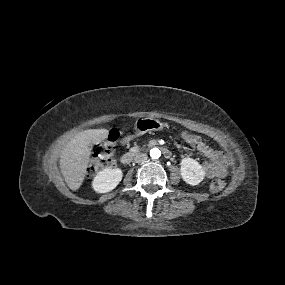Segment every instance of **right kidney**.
<instances>
[{
	"mask_svg": "<svg viewBox=\"0 0 285 285\" xmlns=\"http://www.w3.org/2000/svg\"><path fill=\"white\" fill-rule=\"evenodd\" d=\"M123 172L120 168H105L97 173L92 181V188L97 193H107L116 188L122 180Z\"/></svg>",
	"mask_w": 285,
	"mask_h": 285,
	"instance_id": "ca27d5eb",
	"label": "right kidney"
}]
</instances>
